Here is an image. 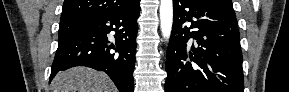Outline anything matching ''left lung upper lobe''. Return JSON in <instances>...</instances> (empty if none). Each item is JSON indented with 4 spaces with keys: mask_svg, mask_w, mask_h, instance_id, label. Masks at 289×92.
<instances>
[{
    "mask_svg": "<svg viewBox=\"0 0 289 92\" xmlns=\"http://www.w3.org/2000/svg\"><path fill=\"white\" fill-rule=\"evenodd\" d=\"M207 1L228 11L229 13L235 14L231 0H207Z\"/></svg>",
    "mask_w": 289,
    "mask_h": 92,
    "instance_id": "obj_1",
    "label": "left lung upper lobe"
}]
</instances>
